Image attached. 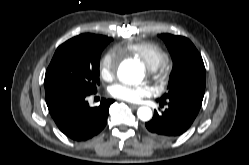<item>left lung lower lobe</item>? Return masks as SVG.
<instances>
[{
    "label": "left lung lower lobe",
    "instance_id": "left-lung-lower-lobe-1",
    "mask_svg": "<svg viewBox=\"0 0 249 165\" xmlns=\"http://www.w3.org/2000/svg\"><path fill=\"white\" fill-rule=\"evenodd\" d=\"M198 97L179 95L169 99H158L160 106L167 108L158 113L145 126L157 138L169 140L182 135L192 125L202 104Z\"/></svg>",
    "mask_w": 249,
    "mask_h": 165
}]
</instances>
